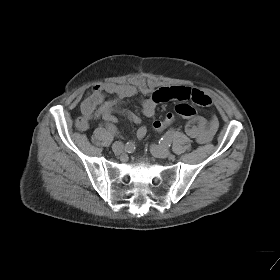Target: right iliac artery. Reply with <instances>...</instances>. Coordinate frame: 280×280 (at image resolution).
Listing matches in <instances>:
<instances>
[{
	"instance_id": "1",
	"label": "right iliac artery",
	"mask_w": 280,
	"mask_h": 280,
	"mask_svg": "<svg viewBox=\"0 0 280 280\" xmlns=\"http://www.w3.org/2000/svg\"><path fill=\"white\" fill-rule=\"evenodd\" d=\"M106 128L108 129V131H110L112 134L116 135L117 134V129L116 127L111 124V123H107L106 124ZM135 150V144L132 141H129L125 144V151L128 153H132Z\"/></svg>"
}]
</instances>
